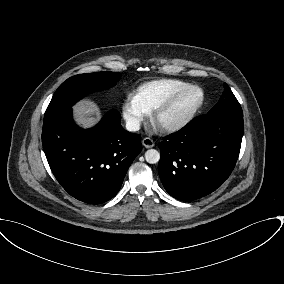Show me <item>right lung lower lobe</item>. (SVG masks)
Returning a JSON list of instances; mask_svg holds the SVG:
<instances>
[{
  "label": "right lung lower lobe",
  "mask_w": 284,
  "mask_h": 284,
  "mask_svg": "<svg viewBox=\"0 0 284 284\" xmlns=\"http://www.w3.org/2000/svg\"><path fill=\"white\" fill-rule=\"evenodd\" d=\"M43 149L61 186L74 198L101 204L121 188L126 172L141 152V137L121 126L111 110L95 127L79 129L67 108L44 121Z\"/></svg>",
  "instance_id": "right-lung-lower-lobe-1"
}]
</instances>
